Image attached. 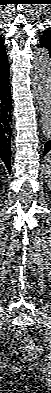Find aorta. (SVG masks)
<instances>
[{
    "label": "aorta",
    "mask_w": 51,
    "mask_h": 393,
    "mask_svg": "<svg viewBox=\"0 0 51 393\" xmlns=\"http://www.w3.org/2000/svg\"><path fill=\"white\" fill-rule=\"evenodd\" d=\"M32 79L34 92L42 114V130L51 136V61L48 49L39 48L33 59Z\"/></svg>",
    "instance_id": "obj_1"
}]
</instances>
